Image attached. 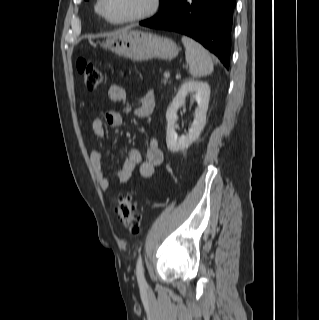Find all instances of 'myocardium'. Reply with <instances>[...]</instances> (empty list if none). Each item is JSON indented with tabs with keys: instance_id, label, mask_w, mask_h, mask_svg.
I'll return each instance as SVG.
<instances>
[{
	"instance_id": "1",
	"label": "myocardium",
	"mask_w": 319,
	"mask_h": 320,
	"mask_svg": "<svg viewBox=\"0 0 319 320\" xmlns=\"http://www.w3.org/2000/svg\"><path fill=\"white\" fill-rule=\"evenodd\" d=\"M105 2L106 0H98V9H99V14L109 23L114 24V25H123V24H128V23H133V22H139L143 21L146 19H149L156 15L158 11L160 10L161 7V0H152L151 7L140 14L121 19V20H113L108 17L106 10H105Z\"/></svg>"
}]
</instances>
